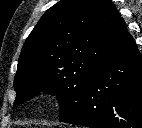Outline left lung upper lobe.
I'll return each mask as SVG.
<instances>
[{
    "label": "left lung upper lobe",
    "mask_w": 142,
    "mask_h": 128,
    "mask_svg": "<svg viewBox=\"0 0 142 128\" xmlns=\"http://www.w3.org/2000/svg\"><path fill=\"white\" fill-rule=\"evenodd\" d=\"M132 36L110 0H61L28 36L14 80L16 103L41 91L57 94L60 117H68L81 93Z\"/></svg>",
    "instance_id": "5c2ea615"
}]
</instances>
